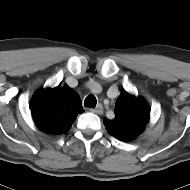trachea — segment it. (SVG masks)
Wrapping results in <instances>:
<instances>
[{
	"label": "trachea",
	"instance_id": "1",
	"mask_svg": "<svg viewBox=\"0 0 190 190\" xmlns=\"http://www.w3.org/2000/svg\"><path fill=\"white\" fill-rule=\"evenodd\" d=\"M97 103L96 97L93 94H90L86 97L84 101L85 107L95 108Z\"/></svg>",
	"mask_w": 190,
	"mask_h": 190
}]
</instances>
